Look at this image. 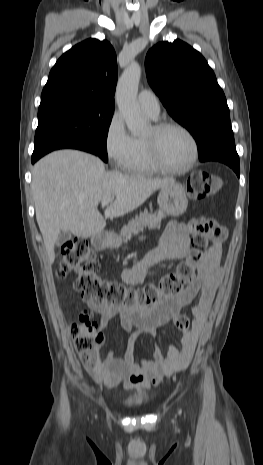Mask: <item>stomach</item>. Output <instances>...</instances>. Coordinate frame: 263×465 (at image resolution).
I'll list each match as a JSON object with an SVG mask.
<instances>
[{"label":"stomach","mask_w":263,"mask_h":465,"mask_svg":"<svg viewBox=\"0 0 263 465\" xmlns=\"http://www.w3.org/2000/svg\"><path fill=\"white\" fill-rule=\"evenodd\" d=\"M157 202L165 214L175 217L180 216L187 210L188 206L185 188L179 183L163 187L159 192ZM94 241L101 248H112L120 245V241L117 238L107 234L98 235V240Z\"/></svg>","instance_id":"obj_1"}]
</instances>
